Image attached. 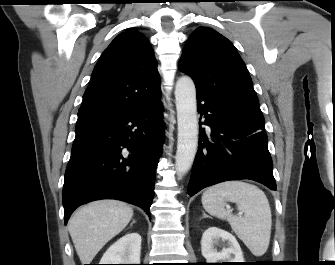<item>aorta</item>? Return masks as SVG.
I'll use <instances>...</instances> for the list:
<instances>
[{
	"label": "aorta",
	"mask_w": 335,
	"mask_h": 265,
	"mask_svg": "<svg viewBox=\"0 0 335 265\" xmlns=\"http://www.w3.org/2000/svg\"><path fill=\"white\" fill-rule=\"evenodd\" d=\"M178 121L176 171L185 175L191 168L198 145L196 89L188 76L180 77L175 87Z\"/></svg>",
	"instance_id": "1"
}]
</instances>
